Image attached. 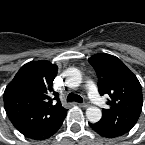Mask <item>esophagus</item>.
<instances>
[{"label":"esophagus","instance_id":"esophagus-1","mask_svg":"<svg viewBox=\"0 0 145 145\" xmlns=\"http://www.w3.org/2000/svg\"><path fill=\"white\" fill-rule=\"evenodd\" d=\"M79 106L83 108H87L89 104L87 102H84V103H80Z\"/></svg>","mask_w":145,"mask_h":145}]
</instances>
